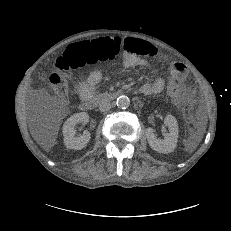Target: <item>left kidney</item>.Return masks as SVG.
<instances>
[{"mask_svg": "<svg viewBox=\"0 0 231 231\" xmlns=\"http://www.w3.org/2000/svg\"><path fill=\"white\" fill-rule=\"evenodd\" d=\"M169 133L165 134L164 139L156 137L152 128L146 129V137L150 147L159 153H171L175 150L178 139V123L174 116L167 115L164 119Z\"/></svg>", "mask_w": 231, "mask_h": 231, "instance_id": "5707ae66", "label": "left kidney"}]
</instances>
